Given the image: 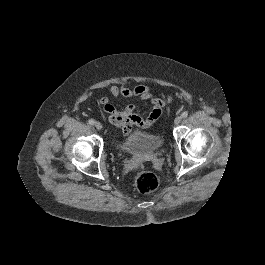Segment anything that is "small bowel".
<instances>
[{"label": "small bowel", "mask_w": 265, "mask_h": 265, "mask_svg": "<svg viewBox=\"0 0 265 265\" xmlns=\"http://www.w3.org/2000/svg\"><path fill=\"white\" fill-rule=\"evenodd\" d=\"M109 92L116 99L135 97L141 101H148L151 104L150 111L144 117L138 112L135 104L130 103L118 109L108 97H102L98 100V105L108 115L109 122L128 132L134 126L141 128L151 126L160 117L162 109L168 103L167 98H155L150 87L146 85H134L132 87L112 85L109 87Z\"/></svg>", "instance_id": "1"}]
</instances>
